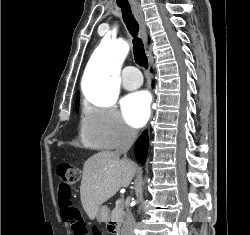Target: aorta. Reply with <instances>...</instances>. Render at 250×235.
<instances>
[{
    "mask_svg": "<svg viewBox=\"0 0 250 235\" xmlns=\"http://www.w3.org/2000/svg\"><path fill=\"white\" fill-rule=\"evenodd\" d=\"M129 51L126 42L112 45L102 41L94 51L88 67L85 96L92 102L108 106L118 97L119 66Z\"/></svg>",
    "mask_w": 250,
    "mask_h": 235,
    "instance_id": "1",
    "label": "aorta"
}]
</instances>
